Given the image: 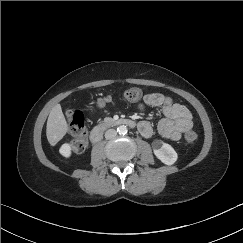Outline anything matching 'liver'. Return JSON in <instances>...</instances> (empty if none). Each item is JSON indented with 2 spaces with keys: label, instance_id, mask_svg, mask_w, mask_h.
Instances as JSON below:
<instances>
[{
  "label": "liver",
  "instance_id": "1",
  "mask_svg": "<svg viewBox=\"0 0 243 243\" xmlns=\"http://www.w3.org/2000/svg\"><path fill=\"white\" fill-rule=\"evenodd\" d=\"M68 125L60 104H56L50 111L46 136L51 146H55L67 133Z\"/></svg>",
  "mask_w": 243,
  "mask_h": 243
}]
</instances>
